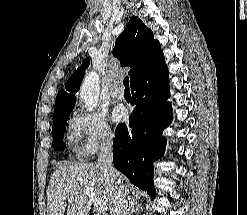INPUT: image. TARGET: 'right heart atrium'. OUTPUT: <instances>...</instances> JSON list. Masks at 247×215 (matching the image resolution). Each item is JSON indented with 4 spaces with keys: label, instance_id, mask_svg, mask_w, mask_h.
<instances>
[{
    "label": "right heart atrium",
    "instance_id": "obj_1",
    "mask_svg": "<svg viewBox=\"0 0 247 215\" xmlns=\"http://www.w3.org/2000/svg\"><path fill=\"white\" fill-rule=\"evenodd\" d=\"M70 137L77 152L88 157L112 144L114 133L101 112L77 110L69 122Z\"/></svg>",
    "mask_w": 247,
    "mask_h": 215
}]
</instances>
